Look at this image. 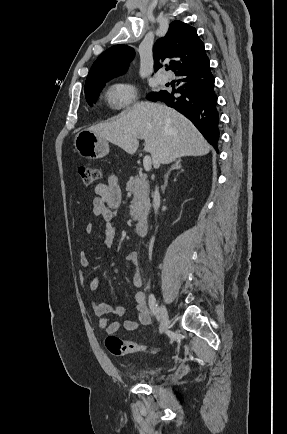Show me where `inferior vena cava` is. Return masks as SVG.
I'll return each mask as SVG.
<instances>
[{"instance_id": "obj_1", "label": "inferior vena cava", "mask_w": 287, "mask_h": 434, "mask_svg": "<svg viewBox=\"0 0 287 434\" xmlns=\"http://www.w3.org/2000/svg\"><path fill=\"white\" fill-rule=\"evenodd\" d=\"M159 204H160V195H159L158 188L156 187L153 195V206H154L155 213H157V208Z\"/></svg>"}]
</instances>
